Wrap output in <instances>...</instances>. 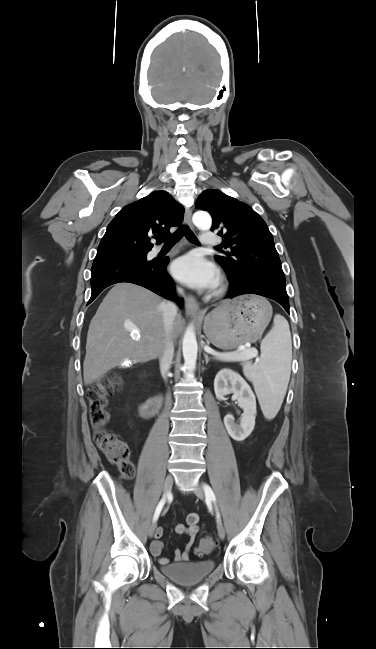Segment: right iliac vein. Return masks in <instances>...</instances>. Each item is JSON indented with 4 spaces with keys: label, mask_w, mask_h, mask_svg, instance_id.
<instances>
[{
    "label": "right iliac vein",
    "mask_w": 376,
    "mask_h": 649,
    "mask_svg": "<svg viewBox=\"0 0 376 649\" xmlns=\"http://www.w3.org/2000/svg\"><path fill=\"white\" fill-rule=\"evenodd\" d=\"M172 486H173V477L171 475H168L164 481L163 490L165 495H167L171 491ZM155 529H156V523L153 522L148 529V535L150 538L153 536Z\"/></svg>",
    "instance_id": "right-iliac-vein-1"
}]
</instances>
